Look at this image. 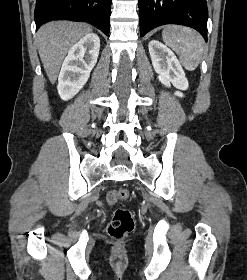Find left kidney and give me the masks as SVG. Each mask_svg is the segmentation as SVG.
Wrapping results in <instances>:
<instances>
[{
  "label": "left kidney",
  "instance_id": "left-kidney-1",
  "mask_svg": "<svg viewBox=\"0 0 247 280\" xmlns=\"http://www.w3.org/2000/svg\"><path fill=\"white\" fill-rule=\"evenodd\" d=\"M148 48L152 65L158 74L159 81L166 87H170L172 84L178 90H187L189 86L188 80L175 54L157 40L150 41ZM175 95L183 97L180 91H176Z\"/></svg>",
  "mask_w": 247,
  "mask_h": 280
}]
</instances>
